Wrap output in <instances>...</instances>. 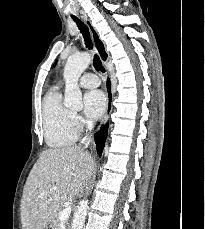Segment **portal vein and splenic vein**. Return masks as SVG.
<instances>
[{"mask_svg":"<svg viewBox=\"0 0 205 229\" xmlns=\"http://www.w3.org/2000/svg\"><path fill=\"white\" fill-rule=\"evenodd\" d=\"M71 214V206L65 208L59 215V219L61 222H65Z\"/></svg>","mask_w":205,"mask_h":229,"instance_id":"obj_1","label":"portal vein and splenic vein"}]
</instances>
